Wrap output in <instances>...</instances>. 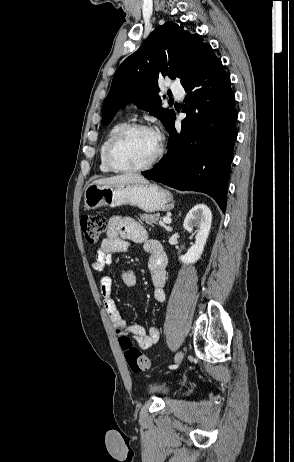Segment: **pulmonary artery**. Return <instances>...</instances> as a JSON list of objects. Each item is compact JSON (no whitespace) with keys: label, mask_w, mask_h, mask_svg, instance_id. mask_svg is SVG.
Segmentation results:
<instances>
[{"label":"pulmonary artery","mask_w":294,"mask_h":462,"mask_svg":"<svg viewBox=\"0 0 294 462\" xmlns=\"http://www.w3.org/2000/svg\"><path fill=\"white\" fill-rule=\"evenodd\" d=\"M171 91L175 95V97L181 99L184 95V91L179 85H171Z\"/></svg>","instance_id":"pulmonary-artery-1"}]
</instances>
